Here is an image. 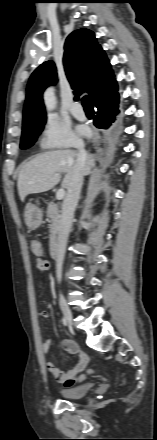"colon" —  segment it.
I'll list each match as a JSON object with an SVG mask.
<instances>
[{
    "label": "colon",
    "instance_id": "colon-1",
    "mask_svg": "<svg viewBox=\"0 0 157 440\" xmlns=\"http://www.w3.org/2000/svg\"><path fill=\"white\" fill-rule=\"evenodd\" d=\"M31 251L36 256V267L38 270H44L48 266V261L44 258L43 248L41 243L38 240H32L31 244ZM94 372V370H88L86 373L81 374L78 377L70 378L65 382L66 387H73L77 383L83 381L87 375H90Z\"/></svg>",
    "mask_w": 157,
    "mask_h": 440
}]
</instances>
